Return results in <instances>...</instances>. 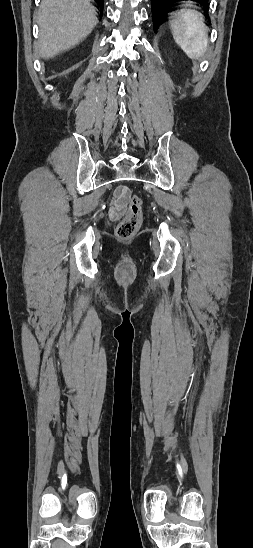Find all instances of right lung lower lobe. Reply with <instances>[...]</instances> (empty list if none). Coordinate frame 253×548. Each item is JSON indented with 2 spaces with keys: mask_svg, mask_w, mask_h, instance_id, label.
Masks as SVG:
<instances>
[{
  "mask_svg": "<svg viewBox=\"0 0 253 548\" xmlns=\"http://www.w3.org/2000/svg\"><path fill=\"white\" fill-rule=\"evenodd\" d=\"M95 1L100 6V8L102 9L104 0H95Z\"/></svg>",
  "mask_w": 253,
  "mask_h": 548,
  "instance_id": "right-lung-lower-lobe-1",
  "label": "right lung lower lobe"
}]
</instances>
